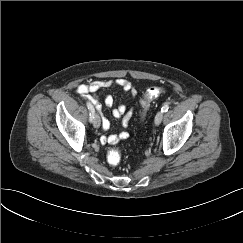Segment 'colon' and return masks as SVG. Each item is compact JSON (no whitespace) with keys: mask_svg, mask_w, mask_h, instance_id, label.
Here are the masks:
<instances>
[{"mask_svg":"<svg viewBox=\"0 0 243 243\" xmlns=\"http://www.w3.org/2000/svg\"><path fill=\"white\" fill-rule=\"evenodd\" d=\"M164 93L162 87L153 86L146 90L143 100L141 101L142 107L145 109L148 107L151 100ZM108 163L112 166H117L121 162V151L119 148H112L107 154Z\"/></svg>","mask_w":243,"mask_h":243,"instance_id":"obj_1","label":"colon"}]
</instances>
